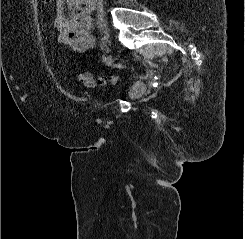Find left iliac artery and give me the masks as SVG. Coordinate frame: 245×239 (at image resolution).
<instances>
[{"label":"left iliac artery","instance_id":"44dca946","mask_svg":"<svg viewBox=\"0 0 245 239\" xmlns=\"http://www.w3.org/2000/svg\"><path fill=\"white\" fill-rule=\"evenodd\" d=\"M102 61L105 62L106 61V57L103 55L102 57Z\"/></svg>","mask_w":245,"mask_h":239}]
</instances>
